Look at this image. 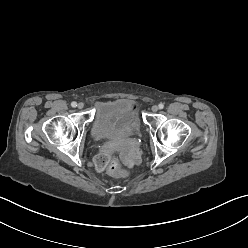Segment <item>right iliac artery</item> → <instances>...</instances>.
Instances as JSON below:
<instances>
[{"mask_svg": "<svg viewBox=\"0 0 248 248\" xmlns=\"http://www.w3.org/2000/svg\"><path fill=\"white\" fill-rule=\"evenodd\" d=\"M71 106H72V107H76V106H77V103H76V102H72V103H71Z\"/></svg>", "mask_w": 248, "mask_h": 248, "instance_id": "obj_1", "label": "right iliac artery"}]
</instances>
